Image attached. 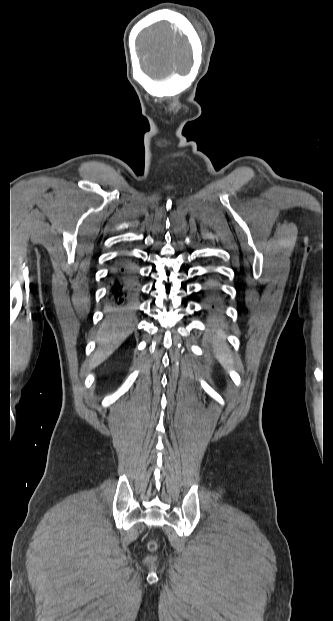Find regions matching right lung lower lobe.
<instances>
[{
  "label": "right lung lower lobe",
  "instance_id": "obj_1",
  "mask_svg": "<svg viewBox=\"0 0 333 621\" xmlns=\"http://www.w3.org/2000/svg\"><path fill=\"white\" fill-rule=\"evenodd\" d=\"M137 280L135 264L126 256L118 257L109 274L108 304L122 309L132 307L138 294Z\"/></svg>",
  "mask_w": 333,
  "mask_h": 621
}]
</instances>
